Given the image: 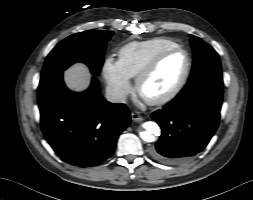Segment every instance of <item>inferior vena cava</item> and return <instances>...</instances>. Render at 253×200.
I'll return each mask as SVG.
<instances>
[{"mask_svg":"<svg viewBox=\"0 0 253 200\" xmlns=\"http://www.w3.org/2000/svg\"><path fill=\"white\" fill-rule=\"evenodd\" d=\"M105 97L111 103H124L126 101V94L116 89H107Z\"/></svg>","mask_w":253,"mask_h":200,"instance_id":"1","label":"inferior vena cava"}]
</instances>
